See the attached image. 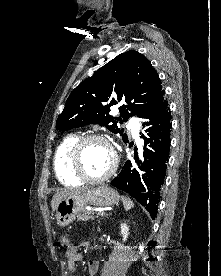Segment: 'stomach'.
Masks as SVG:
<instances>
[{"label":"stomach","mask_w":221,"mask_h":276,"mask_svg":"<svg viewBox=\"0 0 221 276\" xmlns=\"http://www.w3.org/2000/svg\"><path fill=\"white\" fill-rule=\"evenodd\" d=\"M118 193L105 185L87 190L84 193L62 199L56 207L58 225L65 227L81 214L87 205L106 207L119 202Z\"/></svg>","instance_id":"obj_1"}]
</instances>
